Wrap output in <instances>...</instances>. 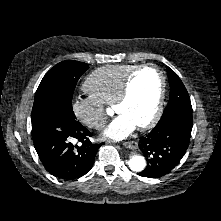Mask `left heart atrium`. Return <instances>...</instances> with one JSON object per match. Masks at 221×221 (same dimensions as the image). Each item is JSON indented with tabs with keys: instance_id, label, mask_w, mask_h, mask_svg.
I'll return each mask as SVG.
<instances>
[{
	"instance_id": "1",
	"label": "left heart atrium",
	"mask_w": 221,
	"mask_h": 221,
	"mask_svg": "<svg viewBox=\"0 0 221 221\" xmlns=\"http://www.w3.org/2000/svg\"><path fill=\"white\" fill-rule=\"evenodd\" d=\"M137 126L126 115L119 114L104 130L106 137L119 140L131 134Z\"/></svg>"
}]
</instances>
